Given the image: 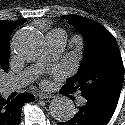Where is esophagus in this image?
<instances>
[{
	"label": "esophagus",
	"instance_id": "esophagus-1",
	"mask_svg": "<svg viewBox=\"0 0 125 125\" xmlns=\"http://www.w3.org/2000/svg\"><path fill=\"white\" fill-rule=\"evenodd\" d=\"M38 97H39L40 99H51V98H54L53 95H51V94H49V93H44V92H40V93L38 94Z\"/></svg>",
	"mask_w": 125,
	"mask_h": 125
}]
</instances>
